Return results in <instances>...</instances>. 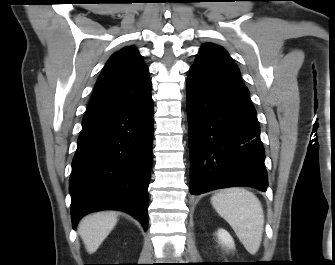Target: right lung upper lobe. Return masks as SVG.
<instances>
[{
	"label": "right lung upper lobe",
	"mask_w": 335,
	"mask_h": 265,
	"mask_svg": "<svg viewBox=\"0 0 335 265\" xmlns=\"http://www.w3.org/2000/svg\"><path fill=\"white\" fill-rule=\"evenodd\" d=\"M148 68L134 46L115 53L100 74L86 112L139 102L150 95Z\"/></svg>",
	"instance_id": "cb5924a9"
}]
</instances>
